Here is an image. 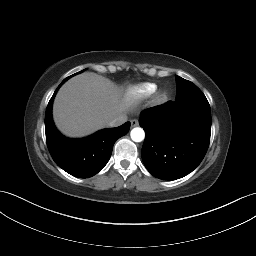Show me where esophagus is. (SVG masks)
I'll return each mask as SVG.
<instances>
[{"mask_svg": "<svg viewBox=\"0 0 256 256\" xmlns=\"http://www.w3.org/2000/svg\"><path fill=\"white\" fill-rule=\"evenodd\" d=\"M130 122H131V127H136V126H138V120L133 119V120H131Z\"/></svg>", "mask_w": 256, "mask_h": 256, "instance_id": "34e87169", "label": "esophagus"}]
</instances>
